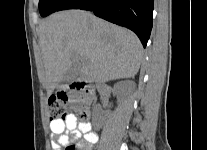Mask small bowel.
<instances>
[{
    "label": "small bowel",
    "mask_w": 207,
    "mask_h": 150,
    "mask_svg": "<svg viewBox=\"0 0 207 150\" xmlns=\"http://www.w3.org/2000/svg\"><path fill=\"white\" fill-rule=\"evenodd\" d=\"M50 130L54 140L52 142L53 150H67L74 145L75 150H92L97 142L98 136L92 131L89 121H78L72 113L67 114L63 119L50 120Z\"/></svg>",
    "instance_id": "c3829d8e"
}]
</instances>
